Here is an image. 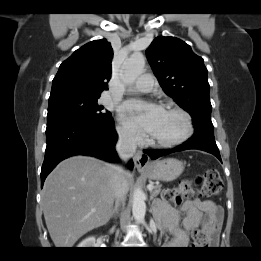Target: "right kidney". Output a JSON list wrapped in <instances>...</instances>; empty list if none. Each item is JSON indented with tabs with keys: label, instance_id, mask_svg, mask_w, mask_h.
Wrapping results in <instances>:
<instances>
[{
	"label": "right kidney",
	"instance_id": "ca27d5eb",
	"mask_svg": "<svg viewBox=\"0 0 261 261\" xmlns=\"http://www.w3.org/2000/svg\"><path fill=\"white\" fill-rule=\"evenodd\" d=\"M95 237H89L86 238L85 240H83L82 242H80V244L78 245L79 248H91L95 246Z\"/></svg>",
	"mask_w": 261,
	"mask_h": 261
}]
</instances>
